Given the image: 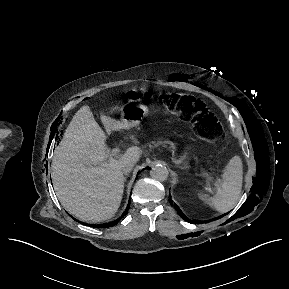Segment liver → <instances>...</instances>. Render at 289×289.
<instances>
[{
	"instance_id": "6515ba94",
	"label": "liver",
	"mask_w": 289,
	"mask_h": 289,
	"mask_svg": "<svg viewBox=\"0 0 289 289\" xmlns=\"http://www.w3.org/2000/svg\"><path fill=\"white\" fill-rule=\"evenodd\" d=\"M101 121L108 132L127 129L104 114ZM131 140L136 139L131 136ZM106 135L89 106L73 116L52 159V183L61 205L83 221L101 222L117 212L124 190L120 165L137 162L141 149L130 147L117 159L108 158Z\"/></svg>"
}]
</instances>
